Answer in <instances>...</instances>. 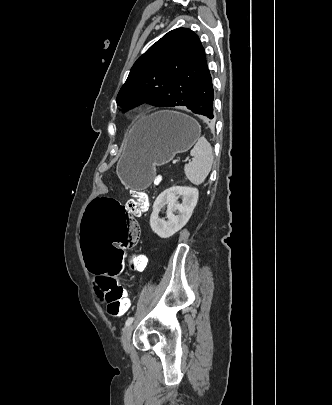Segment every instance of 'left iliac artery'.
Returning <instances> with one entry per match:
<instances>
[{
    "mask_svg": "<svg viewBox=\"0 0 332 405\" xmlns=\"http://www.w3.org/2000/svg\"><path fill=\"white\" fill-rule=\"evenodd\" d=\"M133 320H134V317H129L125 322V326L127 327V326L131 325Z\"/></svg>",
    "mask_w": 332,
    "mask_h": 405,
    "instance_id": "left-iliac-artery-1",
    "label": "left iliac artery"
}]
</instances>
